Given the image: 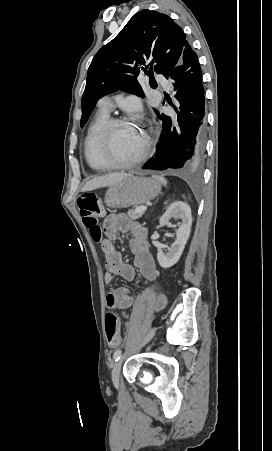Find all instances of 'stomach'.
Instances as JSON below:
<instances>
[{
    "mask_svg": "<svg viewBox=\"0 0 272 451\" xmlns=\"http://www.w3.org/2000/svg\"><path fill=\"white\" fill-rule=\"evenodd\" d=\"M161 186L156 180L143 176H126L117 184L109 186L105 194V204L108 208H129L140 206L153 200L160 194Z\"/></svg>",
    "mask_w": 272,
    "mask_h": 451,
    "instance_id": "0dacf381",
    "label": "stomach"
}]
</instances>
